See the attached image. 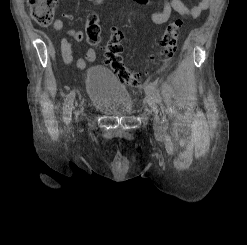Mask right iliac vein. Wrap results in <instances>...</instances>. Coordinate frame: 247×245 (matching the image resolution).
Returning a JSON list of instances; mask_svg holds the SVG:
<instances>
[{"label": "right iliac vein", "instance_id": "obj_1", "mask_svg": "<svg viewBox=\"0 0 247 245\" xmlns=\"http://www.w3.org/2000/svg\"><path fill=\"white\" fill-rule=\"evenodd\" d=\"M75 117H76V119L78 118V114L77 113H75Z\"/></svg>", "mask_w": 247, "mask_h": 245}]
</instances>
